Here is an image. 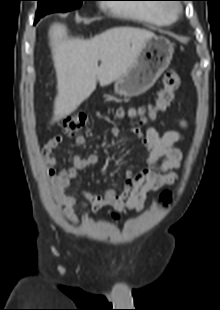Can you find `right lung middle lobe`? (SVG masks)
I'll return each mask as SVG.
<instances>
[{
    "label": "right lung middle lobe",
    "instance_id": "1",
    "mask_svg": "<svg viewBox=\"0 0 220 310\" xmlns=\"http://www.w3.org/2000/svg\"><path fill=\"white\" fill-rule=\"evenodd\" d=\"M38 8L36 17H43L53 12H67L79 8L86 0H37Z\"/></svg>",
    "mask_w": 220,
    "mask_h": 310
}]
</instances>
